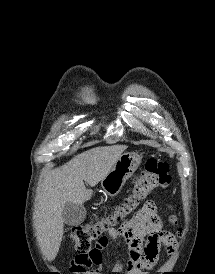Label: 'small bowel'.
I'll return each mask as SVG.
<instances>
[{"instance_id": "obj_1", "label": "small bowel", "mask_w": 215, "mask_h": 274, "mask_svg": "<svg viewBox=\"0 0 215 274\" xmlns=\"http://www.w3.org/2000/svg\"><path fill=\"white\" fill-rule=\"evenodd\" d=\"M164 232L151 201L119 228H109L108 237L113 241H122L127 249L126 260H119L112 267V272L148 274V270L159 260L162 247H166L170 254L174 250L173 241L166 239ZM107 245L108 238L101 237L89 253L78 254L74 258L69 271L73 274H102L103 251Z\"/></svg>"}]
</instances>
